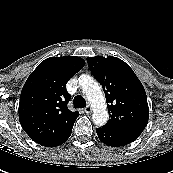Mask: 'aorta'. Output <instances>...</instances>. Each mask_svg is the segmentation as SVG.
Returning <instances> with one entry per match:
<instances>
[{
	"instance_id": "obj_1",
	"label": "aorta",
	"mask_w": 173,
	"mask_h": 173,
	"mask_svg": "<svg viewBox=\"0 0 173 173\" xmlns=\"http://www.w3.org/2000/svg\"><path fill=\"white\" fill-rule=\"evenodd\" d=\"M79 85L93 108V122L98 126L107 123L108 112L106 110V101L98 83L89 75H81L78 78Z\"/></svg>"
}]
</instances>
